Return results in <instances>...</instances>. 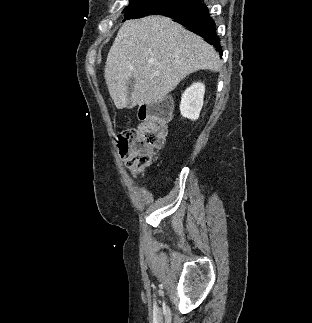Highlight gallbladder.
Instances as JSON below:
<instances>
[{
  "instance_id": "bac80fb5",
  "label": "gallbladder",
  "mask_w": 312,
  "mask_h": 323,
  "mask_svg": "<svg viewBox=\"0 0 312 323\" xmlns=\"http://www.w3.org/2000/svg\"><path fill=\"white\" fill-rule=\"evenodd\" d=\"M134 84H135V78H133V76H130L129 82L127 84L128 98H131V94L133 92ZM129 108H132V106H129Z\"/></svg>"
}]
</instances>
